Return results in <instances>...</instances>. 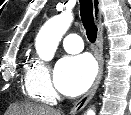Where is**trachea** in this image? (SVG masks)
<instances>
[{
    "mask_svg": "<svg viewBox=\"0 0 131 115\" xmlns=\"http://www.w3.org/2000/svg\"><path fill=\"white\" fill-rule=\"evenodd\" d=\"M80 15L83 26L86 30V35L91 43H94L97 38V27L93 17L92 0H80Z\"/></svg>",
    "mask_w": 131,
    "mask_h": 115,
    "instance_id": "1",
    "label": "trachea"
}]
</instances>
